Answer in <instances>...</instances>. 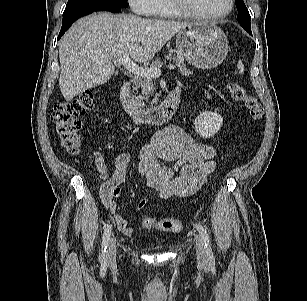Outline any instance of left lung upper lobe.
<instances>
[{"instance_id":"obj_1","label":"left lung upper lobe","mask_w":307,"mask_h":301,"mask_svg":"<svg viewBox=\"0 0 307 301\" xmlns=\"http://www.w3.org/2000/svg\"><path fill=\"white\" fill-rule=\"evenodd\" d=\"M236 1V7L238 10V20L240 22V25L247 30H251V16L248 12V9L246 8L243 0H235Z\"/></svg>"}]
</instances>
